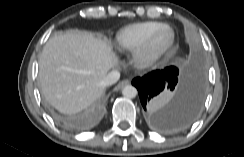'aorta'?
I'll return each mask as SVG.
<instances>
[{
    "mask_svg": "<svg viewBox=\"0 0 244 157\" xmlns=\"http://www.w3.org/2000/svg\"><path fill=\"white\" fill-rule=\"evenodd\" d=\"M122 94L127 98H134L137 95V89L132 85H126L122 89Z\"/></svg>",
    "mask_w": 244,
    "mask_h": 157,
    "instance_id": "obj_1",
    "label": "aorta"
}]
</instances>
